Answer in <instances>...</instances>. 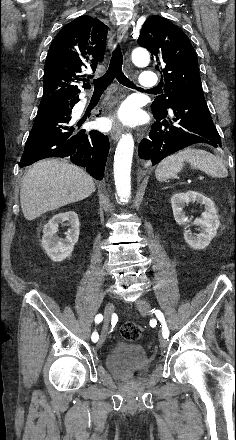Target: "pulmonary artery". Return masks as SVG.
I'll use <instances>...</instances> for the list:
<instances>
[{
    "label": "pulmonary artery",
    "mask_w": 236,
    "mask_h": 440,
    "mask_svg": "<svg viewBox=\"0 0 236 440\" xmlns=\"http://www.w3.org/2000/svg\"><path fill=\"white\" fill-rule=\"evenodd\" d=\"M158 84V77L155 73L144 71L139 80L138 87L144 90L152 89Z\"/></svg>",
    "instance_id": "pulmonary-artery-1"
}]
</instances>
